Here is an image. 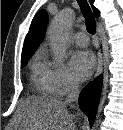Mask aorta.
<instances>
[{"label":"aorta","mask_w":123,"mask_h":130,"mask_svg":"<svg viewBox=\"0 0 123 130\" xmlns=\"http://www.w3.org/2000/svg\"><path fill=\"white\" fill-rule=\"evenodd\" d=\"M74 16L75 13L72 9L65 8L55 16L48 29L50 46L55 60L62 59L69 47V30Z\"/></svg>","instance_id":"1"}]
</instances>
